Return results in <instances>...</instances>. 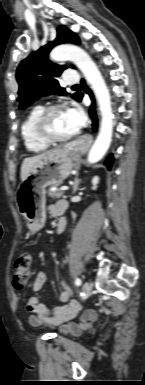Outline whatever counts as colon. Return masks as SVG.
<instances>
[{
	"label": "colon",
	"instance_id": "1",
	"mask_svg": "<svg viewBox=\"0 0 145 385\" xmlns=\"http://www.w3.org/2000/svg\"><path fill=\"white\" fill-rule=\"evenodd\" d=\"M31 255L22 253L15 261L13 284L17 289L24 288L30 278Z\"/></svg>",
	"mask_w": 145,
	"mask_h": 385
}]
</instances>
